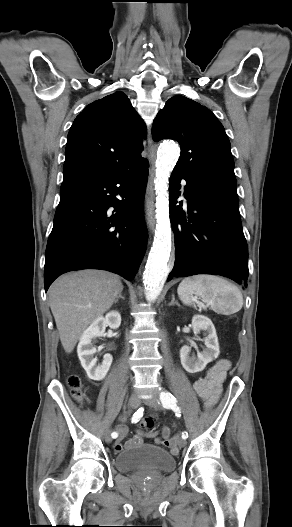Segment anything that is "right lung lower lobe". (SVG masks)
I'll return each mask as SVG.
<instances>
[{"label":"right lung lower lobe","mask_w":292,"mask_h":527,"mask_svg":"<svg viewBox=\"0 0 292 527\" xmlns=\"http://www.w3.org/2000/svg\"><path fill=\"white\" fill-rule=\"evenodd\" d=\"M147 176L146 160L107 178L63 180L45 254V291L61 274L80 269L108 270L133 280L146 249Z\"/></svg>","instance_id":"right-lung-lower-lobe-1"}]
</instances>
